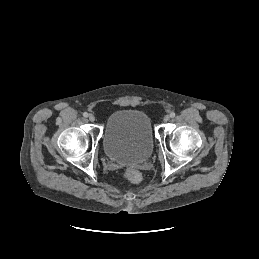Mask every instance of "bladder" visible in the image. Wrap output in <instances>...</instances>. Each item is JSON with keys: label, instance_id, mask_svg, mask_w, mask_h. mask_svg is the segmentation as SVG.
I'll return each mask as SVG.
<instances>
[{"label": "bladder", "instance_id": "1", "mask_svg": "<svg viewBox=\"0 0 259 259\" xmlns=\"http://www.w3.org/2000/svg\"><path fill=\"white\" fill-rule=\"evenodd\" d=\"M106 156L115 162L136 164L153 151L154 136L149 116L139 110H118L107 118L102 136Z\"/></svg>", "mask_w": 259, "mask_h": 259}]
</instances>
